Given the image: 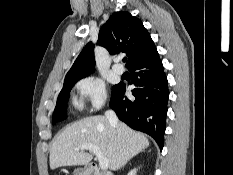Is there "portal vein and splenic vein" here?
Wrapping results in <instances>:
<instances>
[{
    "label": "portal vein and splenic vein",
    "instance_id": "obj_1",
    "mask_svg": "<svg viewBox=\"0 0 233 175\" xmlns=\"http://www.w3.org/2000/svg\"><path fill=\"white\" fill-rule=\"evenodd\" d=\"M77 150H89L92 151L99 161V166L102 170H106L109 167L108 159L102 154L99 147L93 144H84L80 146Z\"/></svg>",
    "mask_w": 233,
    "mask_h": 175
}]
</instances>
